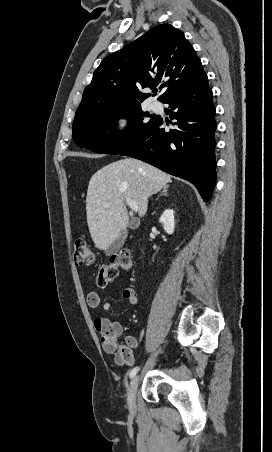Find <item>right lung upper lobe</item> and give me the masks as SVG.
Segmentation results:
<instances>
[{
  "label": "right lung upper lobe",
  "instance_id": "right-lung-upper-lobe-1",
  "mask_svg": "<svg viewBox=\"0 0 272 452\" xmlns=\"http://www.w3.org/2000/svg\"><path fill=\"white\" fill-rule=\"evenodd\" d=\"M204 77L201 61L184 34L161 24L102 60L83 92L75 118L138 105L150 95L138 87L153 89L162 81L164 92L158 100L164 102Z\"/></svg>",
  "mask_w": 272,
  "mask_h": 452
}]
</instances>
